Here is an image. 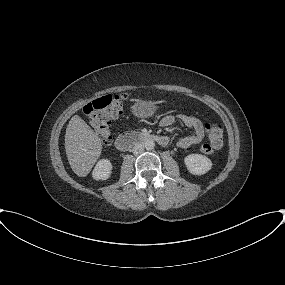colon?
<instances>
[{
	"label": "colon",
	"mask_w": 285,
	"mask_h": 285,
	"mask_svg": "<svg viewBox=\"0 0 285 285\" xmlns=\"http://www.w3.org/2000/svg\"><path fill=\"white\" fill-rule=\"evenodd\" d=\"M127 95L124 93L109 94L88 103L84 115L88 118L103 146L108 147L112 142L110 125L113 120L123 114ZM209 142L201 148L204 154L210 155L219 150L223 145V128L217 123L207 125Z\"/></svg>",
	"instance_id": "1"
}]
</instances>
